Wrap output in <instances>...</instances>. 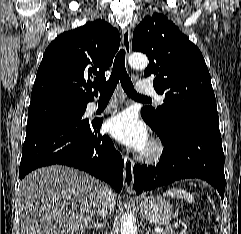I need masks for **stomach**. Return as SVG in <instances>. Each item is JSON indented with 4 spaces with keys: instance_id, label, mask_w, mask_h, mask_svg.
I'll list each match as a JSON object with an SVG mask.
<instances>
[{
    "instance_id": "obj_1",
    "label": "stomach",
    "mask_w": 241,
    "mask_h": 234,
    "mask_svg": "<svg viewBox=\"0 0 241 234\" xmlns=\"http://www.w3.org/2000/svg\"><path fill=\"white\" fill-rule=\"evenodd\" d=\"M138 208L143 218L156 225H167L173 217L172 205L160 196L144 198Z\"/></svg>"
}]
</instances>
